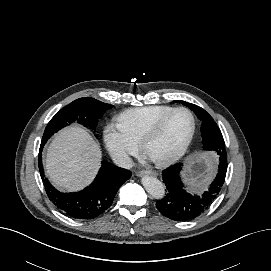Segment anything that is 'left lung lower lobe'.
<instances>
[{
  "label": "left lung lower lobe",
  "instance_id": "obj_1",
  "mask_svg": "<svg viewBox=\"0 0 271 271\" xmlns=\"http://www.w3.org/2000/svg\"><path fill=\"white\" fill-rule=\"evenodd\" d=\"M218 174L210 184L209 189L200 196H193L186 192L181 182L179 172L182 164H175L162 172L163 183L167 188V195L158 200L157 209L166 217L175 221H189L203 214L220 193L227 172V154L221 152Z\"/></svg>",
  "mask_w": 271,
  "mask_h": 271
}]
</instances>
